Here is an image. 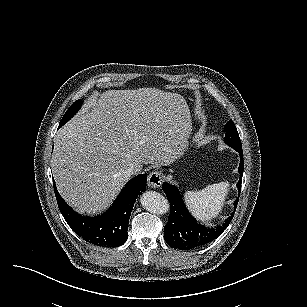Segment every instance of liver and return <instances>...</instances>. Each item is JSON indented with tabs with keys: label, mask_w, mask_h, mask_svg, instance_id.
<instances>
[{
	"label": "liver",
	"mask_w": 307,
	"mask_h": 307,
	"mask_svg": "<svg viewBox=\"0 0 307 307\" xmlns=\"http://www.w3.org/2000/svg\"><path fill=\"white\" fill-rule=\"evenodd\" d=\"M191 131L181 94L152 87L101 92L85 99L54 137L56 189L78 215H101L130 180L128 168L140 173L143 164H170Z\"/></svg>",
	"instance_id": "obj_1"
}]
</instances>
